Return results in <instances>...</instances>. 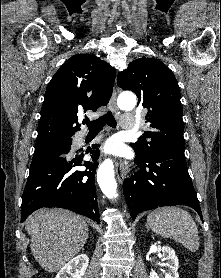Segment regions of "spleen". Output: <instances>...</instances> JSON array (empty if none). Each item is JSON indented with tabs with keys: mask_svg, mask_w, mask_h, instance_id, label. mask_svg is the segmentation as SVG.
<instances>
[{
	"mask_svg": "<svg viewBox=\"0 0 221 278\" xmlns=\"http://www.w3.org/2000/svg\"><path fill=\"white\" fill-rule=\"evenodd\" d=\"M148 227L156 234L171 238L191 252L199 248V233L192 216L179 207H162L147 216Z\"/></svg>",
	"mask_w": 221,
	"mask_h": 278,
	"instance_id": "obj_1",
	"label": "spleen"
}]
</instances>
